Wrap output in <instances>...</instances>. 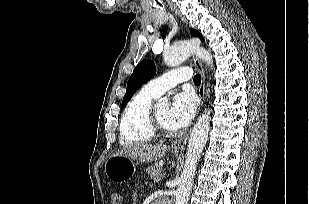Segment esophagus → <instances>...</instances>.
<instances>
[{
    "mask_svg": "<svg viewBox=\"0 0 309 204\" xmlns=\"http://www.w3.org/2000/svg\"><path fill=\"white\" fill-rule=\"evenodd\" d=\"M192 60H193L194 65L196 66V68L201 73L202 81H201V85L199 87L198 93H199V97L201 99V103L203 104L204 96H205V83H206L205 70H204V67L202 65V62L197 57H193ZM187 140H188V134H185L182 137L175 140L171 144V149H173V150H183L185 145H186Z\"/></svg>",
    "mask_w": 309,
    "mask_h": 204,
    "instance_id": "34e87169",
    "label": "esophagus"
}]
</instances>
